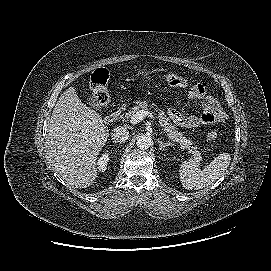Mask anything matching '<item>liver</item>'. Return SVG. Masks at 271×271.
Listing matches in <instances>:
<instances>
[{"label":"liver","instance_id":"liver-1","mask_svg":"<svg viewBox=\"0 0 271 271\" xmlns=\"http://www.w3.org/2000/svg\"><path fill=\"white\" fill-rule=\"evenodd\" d=\"M47 136L48 155L59 175L75 188L91 186L109 131L101 116L81 102L74 87L60 95Z\"/></svg>","mask_w":271,"mask_h":271}]
</instances>
